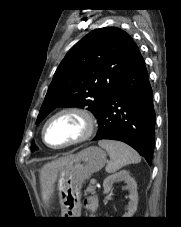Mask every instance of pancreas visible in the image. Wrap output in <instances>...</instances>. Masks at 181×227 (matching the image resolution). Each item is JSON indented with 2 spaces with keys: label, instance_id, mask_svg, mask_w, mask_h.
Returning a JSON list of instances; mask_svg holds the SVG:
<instances>
[{
  "label": "pancreas",
  "instance_id": "pancreas-1",
  "mask_svg": "<svg viewBox=\"0 0 181 227\" xmlns=\"http://www.w3.org/2000/svg\"><path fill=\"white\" fill-rule=\"evenodd\" d=\"M95 190H96V186L90 184L85 190V195H87V194H95V192H96Z\"/></svg>",
  "mask_w": 181,
  "mask_h": 227
}]
</instances>
